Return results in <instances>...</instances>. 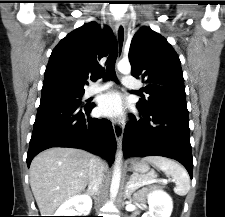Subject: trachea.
Returning <instances> with one entry per match:
<instances>
[{
  "label": "trachea",
  "instance_id": "trachea-1",
  "mask_svg": "<svg viewBox=\"0 0 225 217\" xmlns=\"http://www.w3.org/2000/svg\"><path fill=\"white\" fill-rule=\"evenodd\" d=\"M118 55L117 44L114 43L106 60L105 80H116L115 63Z\"/></svg>",
  "mask_w": 225,
  "mask_h": 217
}]
</instances>
